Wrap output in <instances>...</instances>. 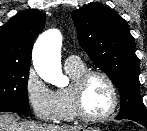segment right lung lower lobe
Returning <instances> with one entry per match:
<instances>
[{"label":"right lung lower lobe","mask_w":147,"mask_h":131,"mask_svg":"<svg viewBox=\"0 0 147 131\" xmlns=\"http://www.w3.org/2000/svg\"><path fill=\"white\" fill-rule=\"evenodd\" d=\"M6 111L14 112L16 111V109L10 107H0V112H6Z\"/></svg>","instance_id":"1"}]
</instances>
